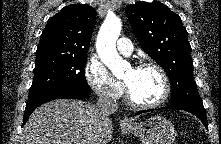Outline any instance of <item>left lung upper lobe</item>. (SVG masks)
<instances>
[{
  "instance_id": "obj_1",
  "label": "left lung upper lobe",
  "mask_w": 221,
  "mask_h": 144,
  "mask_svg": "<svg viewBox=\"0 0 221 144\" xmlns=\"http://www.w3.org/2000/svg\"><path fill=\"white\" fill-rule=\"evenodd\" d=\"M125 10L142 48L170 79L171 104L203 107L194 83L188 33L181 18L161 2H137Z\"/></svg>"
}]
</instances>
